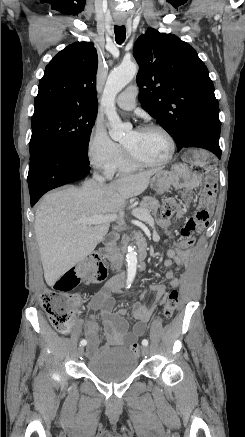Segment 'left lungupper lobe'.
<instances>
[{
  "instance_id": "obj_1",
  "label": "left lung upper lobe",
  "mask_w": 245,
  "mask_h": 437,
  "mask_svg": "<svg viewBox=\"0 0 245 437\" xmlns=\"http://www.w3.org/2000/svg\"><path fill=\"white\" fill-rule=\"evenodd\" d=\"M133 53L141 106L173 137L178 150L195 133L220 136L213 82L188 43L149 28L135 42Z\"/></svg>"
}]
</instances>
